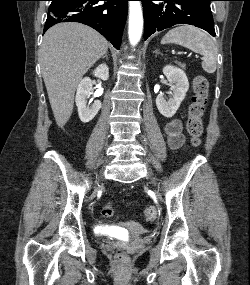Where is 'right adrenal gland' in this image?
I'll return each mask as SVG.
<instances>
[{
    "instance_id": "right-adrenal-gland-1",
    "label": "right adrenal gland",
    "mask_w": 250,
    "mask_h": 285,
    "mask_svg": "<svg viewBox=\"0 0 250 285\" xmlns=\"http://www.w3.org/2000/svg\"><path fill=\"white\" fill-rule=\"evenodd\" d=\"M103 58H106V59H108V55H107V54H105V55L103 56Z\"/></svg>"
}]
</instances>
